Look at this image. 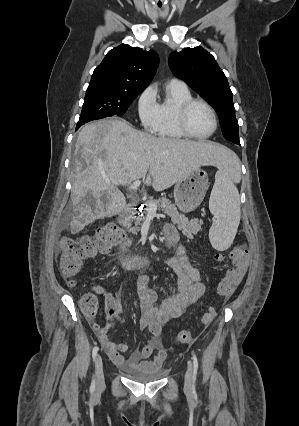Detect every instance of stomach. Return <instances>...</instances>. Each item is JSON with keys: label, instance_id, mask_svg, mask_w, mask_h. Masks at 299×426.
Segmentation results:
<instances>
[{"label": "stomach", "instance_id": "stomach-1", "mask_svg": "<svg viewBox=\"0 0 299 426\" xmlns=\"http://www.w3.org/2000/svg\"><path fill=\"white\" fill-rule=\"evenodd\" d=\"M208 175L202 169L194 170L178 181L174 188V200L180 211L188 213L203 201L208 189Z\"/></svg>", "mask_w": 299, "mask_h": 426}]
</instances>
